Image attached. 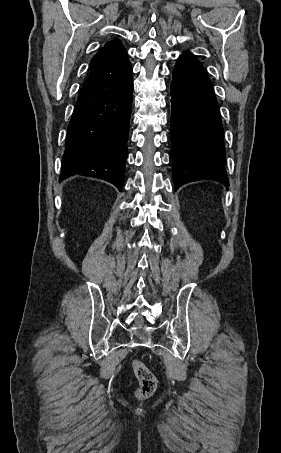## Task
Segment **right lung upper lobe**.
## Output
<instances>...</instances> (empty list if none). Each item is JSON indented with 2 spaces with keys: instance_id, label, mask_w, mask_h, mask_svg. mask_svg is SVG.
I'll use <instances>...</instances> for the list:
<instances>
[{
  "instance_id": "cb5924a9",
  "label": "right lung upper lobe",
  "mask_w": 281,
  "mask_h": 453,
  "mask_svg": "<svg viewBox=\"0 0 281 453\" xmlns=\"http://www.w3.org/2000/svg\"><path fill=\"white\" fill-rule=\"evenodd\" d=\"M124 51L125 49L122 46L121 41L113 40L107 42L104 47L101 48L99 52L92 58L90 62V70L92 71L107 64Z\"/></svg>"
}]
</instances>
